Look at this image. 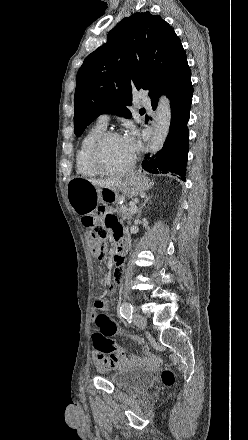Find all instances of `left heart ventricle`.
I'll use <instances>...</instances> for the list:
<instances>
[{"instance_id":"obj_1","label":"left heart ventricle","mask_w":248,"mask_h":440,"mask_svg":"<svg viewBox=\"0 0 248 440\" xmlns=\"http://www.w3.org/2000/svg\"><path fill=\"white\" fill-rule=\"evenodd\" d=\"M133 156L124 137H114L104 146L101 161L105 168L117 171L127 167Z\"/></svg>"}]
</instances>
